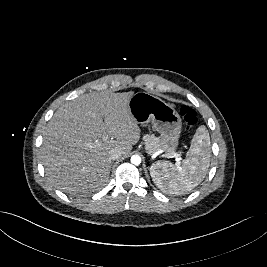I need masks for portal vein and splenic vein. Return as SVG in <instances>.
Returning <instances> with one entry per match:
<instances>
[{
    "mask_svg": "<svg viewBox=\"0 0 267 267\" xmlns=\"http://www.w3.org/2000/svg\"><path fill=\"white\" fill-rule=\"evenodd\" d=\"M108 139H109V135H104L103 136V140L104 141H107ZM97 144H98V141H95V142H92V143H88V146L92 147V146L97 145ZM172 156L176 158L177 163H180L181 157H180V155L178 153L174 152V153H172Z\"/></svg>",
    "mask_w": 267,
    "mask_h": 267,
    "instance_id": "obj_1",
    "label": "portal vein and splenic vein"
}]
</instances>
